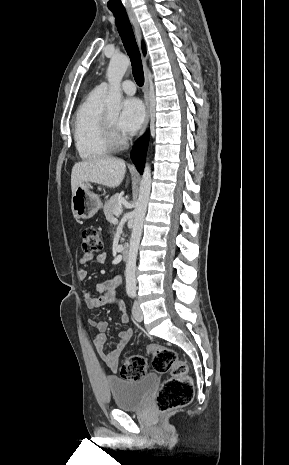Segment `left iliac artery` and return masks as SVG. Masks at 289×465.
<instances>
[{
	"mask_svg": "<svg viewBox=\"0 0 289 465\" xmlns=\"http://www.w3.org/2000/svg\"><path fill=\"white\" fill-rule=\"evenodd\" d=\"M134 296H135V293H132V297H134Z\"/></svg>",
	"mask_w": 289,
	"mask_h": 465,
	"instance_id": "44dca946",
	"label": "left iliac artery"
}]
</instances>
